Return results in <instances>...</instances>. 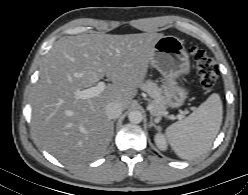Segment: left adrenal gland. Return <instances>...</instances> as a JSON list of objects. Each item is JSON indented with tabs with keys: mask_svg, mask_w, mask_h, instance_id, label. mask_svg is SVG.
Masks as SVG:
<instances>
[{
	"mask_svg": "<svg viewBox=\"0 0 248 195\" xmlns=\"http://www.w3.org/2000/svg\"><path fill=\"white\" fill-rule=\"evenodd\" d=\"M149 127H155L157 130H159L160 128L155 125L154 121H153V117L150 116V123H149Z\"/></svg>",
	"mask_w": 248,
	"mask_h": 195,
	"instance_id": "left-adrenal-gland-1",
	"label": "left adrenal gland"
}]
</instances>
